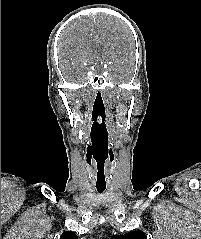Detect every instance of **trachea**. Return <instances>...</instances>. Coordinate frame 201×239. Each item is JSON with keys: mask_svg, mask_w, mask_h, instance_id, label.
I'll return each instance as SVG.
<instances>
[{"mask_svg": "<svg viewBox=\"0 0 201 239\" xmlns=\"http://www.w3.org/2000/svg\"><path fill=\"white\" fill-rule=\"evenodd\" d=\"M96 189L99 193H102L106 189V186H96Z\"/></svg>", "mask_w": 201, "mask_h": 239, "instance_id": "trachea-1", "label": "trachea"}]
</instances>
